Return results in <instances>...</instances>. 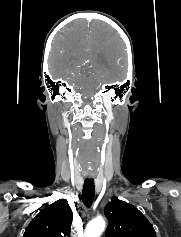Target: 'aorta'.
<instances>
[{
    "label": "aorta",
    "mask_w": 181,
    "mask_h": 237,
    "mask_svg": "<svg viewBox=\"0 0 181 237\" xmlns=\"http://www.w3.org/2000/svg\"><path fill=\"white\" fill-rule=\"evenodd\" d=\"M106 223L102 217H97L90 221L85 229V237H100L104 231Z\"/></svg>",
    "instance_id": "1"
}]
</instances>
